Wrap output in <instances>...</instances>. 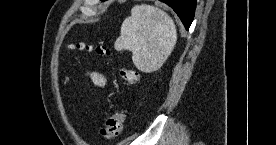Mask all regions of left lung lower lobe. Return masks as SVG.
<instances>
[{
    "instance_id": "0a47b994",
    "label": "left lung lower lobe",
    "mask_w": 276,
    "mask_h": 145,
    "mask_svg": "<svg viewBox=\"0 0 276 145\" xmlns=\"http://www.w3.org/2000/svg\"><path fill=\"white\" fill-rule=\"evenodd\" d=\"M104 1V0H103ZM169 5L179 16L185 28L188 30L196 8V0H160Z\"/></svg>"
}]
</instances>
